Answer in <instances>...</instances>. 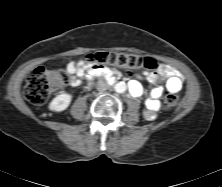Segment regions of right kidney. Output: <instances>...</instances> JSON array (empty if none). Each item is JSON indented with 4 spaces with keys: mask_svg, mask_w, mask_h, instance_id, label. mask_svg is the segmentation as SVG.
Masks as SVG:
<instances>
[{
    "mask_svg": "<svg viewBox=\"0 0 222 187\" xmlns=\"http://www.w3.org/2000/svg\"><path fill=\"white\" fill-rule=\"evenodd\" d=\"M72 100V96L68 93H62L56 96L49 104V109L56 112L65 110Z\"/></svg>",
    "mask_w": 222,
    "mask_h": 187,
    "instance_id": "ca27d5eb",
    "label": "right kidney"
}]
</instances>
